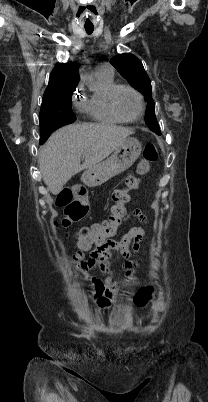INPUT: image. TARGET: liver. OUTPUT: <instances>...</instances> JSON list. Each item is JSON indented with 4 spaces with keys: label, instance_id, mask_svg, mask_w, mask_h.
Returning a JSON list of instances; mask_svg holds the SVG:
<instances>
[{
    "label": "liver",
    "instance_id": "obj_1",
    "mask_svg": "<svg viewBox=\"0 0 208 402\" xmlns=\"http://www.w3.org/2000/svg\"><path fill=\"white\" fill-rule=\"evenodd\" d=\"M130 134V128L110 124H71L54 132L40 152L39 170L48 190L59 194L72 176L100 164Z\"/></svg>",
    "mask_w": 208,
    "mask_h": 402
}]
</instances>
